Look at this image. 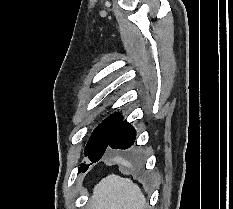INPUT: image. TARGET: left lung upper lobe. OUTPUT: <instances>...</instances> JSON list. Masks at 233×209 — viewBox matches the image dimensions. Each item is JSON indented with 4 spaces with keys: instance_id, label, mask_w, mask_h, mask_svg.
<instances>
[{
    "instance_id": "5c2ea615",
    "label": "left lung upper lobe",
    "mask_w": 233,
    "mask_h": 209,
    "mask_svg": "<svg viewBox=\"0 0 233 209\" xmlns=\"http://www.w3.org/2000/svg\"><path fill=\"white\" fill-rule=\"evenodd\" d=\"M122 117L114 113L105 119L93 132L85 147V155L93 158H101L107 150L108 143Z\"/></svg>"
}]
</instances>
